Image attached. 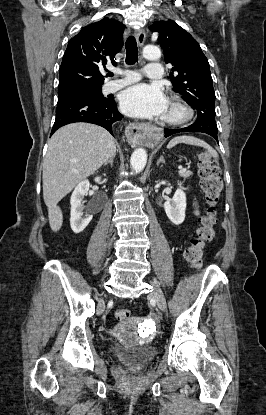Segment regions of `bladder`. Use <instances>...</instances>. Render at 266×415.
I'll use <instances>...</instances> for the list:
<instances>
[{"instance_id":"obj_1","label":"bladder","mask_w":266,"mask_h":415,"mask_svg":"<svg viewBox=\"0 0 266 415\" xmlns=\"http://www.w3.org/2000/svg\"><path fill=\"white\" fill-rule=\"evenodd\" d=\"M109 352L121 361L143 366L156 356V348L152 345L124 346L113 343L109 346Z\"/></svg>"}]
</instances>
